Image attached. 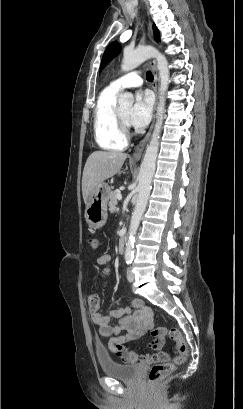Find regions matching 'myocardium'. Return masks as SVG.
I'll return each instance as SVG.
<instances>
[{"instance_id":"myocardium-1","label":"myocardium","mask_w":243,"mask_h":409,"mask_svg":"<svg viewBox=\"0 0 243 409\" xmlns=\"http://www.w3.org/2000/svg\"><path fill=\"white\" fill-rule=\"evenodd\" d=\"M115 115H116V119H117V123L122 131V133L125 135L127 134V123L126 121L121 117L120 113H119V109L116 108L115 111Z\"/></svg>"}]
</instances>
